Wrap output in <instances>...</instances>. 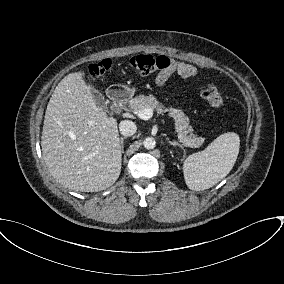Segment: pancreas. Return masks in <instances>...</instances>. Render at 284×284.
<instances>
[{"mask_svg":"<svg viewBox=\"0 0 284 284\" xmlns=\"http://www.w3.org/2000/svg\"><path fill=\"white\" fill-rule=\"evenodd\" d=\"M129 106L134 112L145 108H151L158 113L169 112L170 116L175 120L178 139L185 147L199 148L203 145L205 139L192 133V128L189 127V118L184 112L174 108H165L153 95L136 96L130 100Z\"/></svg>","mask_w":284,"mask_h":284,"instance_id":"cf45deb5","label":"pancreas"}]
</instances>
